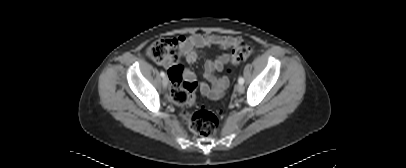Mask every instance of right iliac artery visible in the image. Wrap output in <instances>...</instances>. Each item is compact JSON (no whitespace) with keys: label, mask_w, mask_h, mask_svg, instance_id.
<instances>
[{"label":"right iliac artery","mask_w":406,"mask_h":168,"mask_svg":"<svg viewBox=\"0 0 406 168\" xmlns=\"http://www.w3.org/2000/svg\"><path fill=\"white\" fill-rule=\"evenodd\" d=\"M160 75H161L162 77H164V76H165V73H164L163 71H161V72H160Z\"/></svg>","instance_id":"obj_1"}]
</instances>
